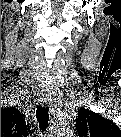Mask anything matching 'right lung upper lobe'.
<instances>
[{
    "mask_svg": "<svg viewBox=\"0 0 121 137\" xmlns=\"http://www.w3.org/2000/svg\"><path fill=\"white\" fill-rule=\"evenodd\" d=\"M27 127L23 115L14 107L1 109V135H24Z\"/></svg>",
    "mask_w": 121,
    "mask_h": 137,
    "instance_id": "right-lung-upper-lobe-1",
    "label": "right lung upper lobe"
}]
</instances>
